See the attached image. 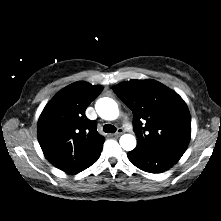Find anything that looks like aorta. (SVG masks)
<instances>
[{
    "label": "aorta",
    "instance_id": "aorta-1",
    "mask_svg": "<svg viewBox=\"0 0 221 221\" xmlns=\"http://www.w3.org/2000/svg\"><path fill=\"white\" fill-rule=\"evenodd\" d=\"M95 109L98 115L105 120H115L119 116L117 103L108 97L98 99ZM119 142L126 151H131L136 147V138L131 134L122 135Z\"/></svg>",
    "mask_w": 221,
    "mask_h": 221
}]
</instances>
